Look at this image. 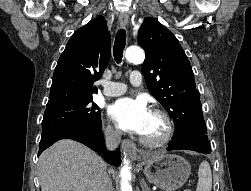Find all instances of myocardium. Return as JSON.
<instances>
[{
	"instance_id": "f54148a6",
	"label": "myocardium",
	"mask_w": 251,
	"mask_h": 191,
	"mask_svg": "<svg viewBox=\"0 0 251 191\" xmlns=\"http://www.w3.org/2000/svg\"><path fill=\"white\" fill-rule=\"evenodd\" d=\"M151 115L159 118L162 121L164 126L163 133L157 140L149 139L143 134L140 135L139 139L140 142L147 147H161L170 141L173 135V123L170 116L162 110L154 109L151 111Z\"/></svg>"
}]
</instances>
